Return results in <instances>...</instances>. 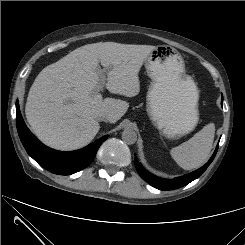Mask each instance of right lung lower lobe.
I'll use <instances>...</instances> for the list:
<instances>
[{"label": "right lung lower lobe", "instance_id": "98d812e1", "mask_svg": "<svg viewBox=\"0 0 245 245\" xmlns=\"http://www.w3.org/2000/svg\"><path fill=\"white\" fill-rule=\"evenodd\" d=\"M16 122L20 140L27 153L40 166L59 175H70L86 168L108 137L103 136L85 148L63 152L46 147L30 132L22 118L18 102H16Z\"/></svg>", "mask_w": 245, "mask_h": 245}]
</instances>
